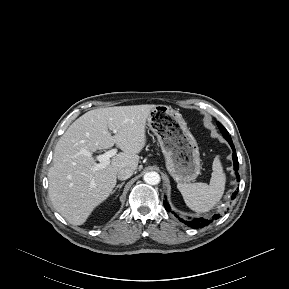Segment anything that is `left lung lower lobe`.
I'll return each instance as SVG.
<instances>
[{
    "instance_id": "left-lung-lower-lobe-1",
    "label": "left lung lower lobe",
    "mask_w": 289,
    "mask_h": 289,
    "mask_svg": "<svg viewBox=\"0 0 289 289\" xmlns=\"http://www.w3.org/2000/svg\"><path fill=\"white\" fill-rule=\"evenodd\" d=\"M224 138L228 141V143L230 144L232 150H233V154H232V158H233V162H234V169H235V173H236V176H237V181H240V177H239V174L237 173V170L239 168V163H238V158H237V155L235 153V147L233 145V142H232V139L230 137V135L228 136H224ZM237 194V192L234 193V196ZM164 206H165V209L170 212L171 211V208L168 204V202L165 200L164 201ZM219 218V215H214L213 216V219H218ZM179 220L181 222H183L184 224L190 226L191 228H194V229H197V228H202L206 225H208L209 223H211L213 220H206L204 218H194V219H182V218H179Z\"/></svg>"
}]
</instances>
